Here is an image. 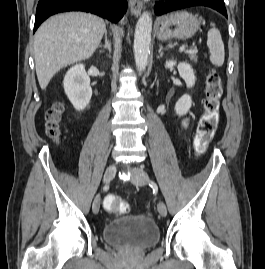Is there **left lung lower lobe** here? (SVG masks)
Masks as SVG:
<instances>
[{"label": "left lung lower lobe", "instance_id": "obj_1", "mask_svg": "<svg viewBox=\"0 0 265 269\" xmlns=\"http://www.w3.org/2000/svg\"><path fill=\"white\" fill-rule=\"evenodd\" d=\"M192 6H207L213 8L227 17V11L223 0H170L156 4L154 7L157 15L183 9Z\"/></svg>", "mask_w": 265, "mask_h": 269}]
</instances>
